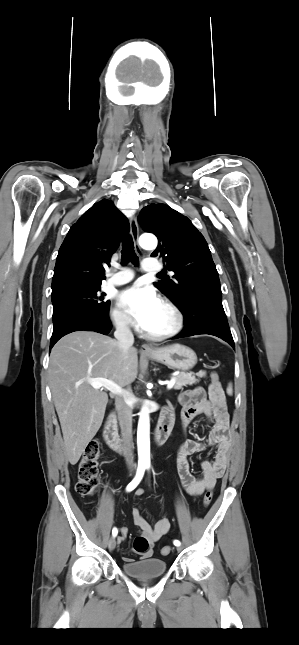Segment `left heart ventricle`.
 Listing matches in <instances>:
<instances>
[{"label": "left heart ventricle", "mask_w": 299, "mask_h": 645, "mask_svg": "<svg viewBox=\"0 0 299 645\" xmlns=\"http://www.w3.org/2000/svg\"><path fill=\"white\" fill-rule=\"evenodd\" d=\"M171 325L172 316L169 311L163 305H161L145 330L151 333H159L168 330Z\"/></svg>", "instance_id": "obj_1"}]
</instances>
